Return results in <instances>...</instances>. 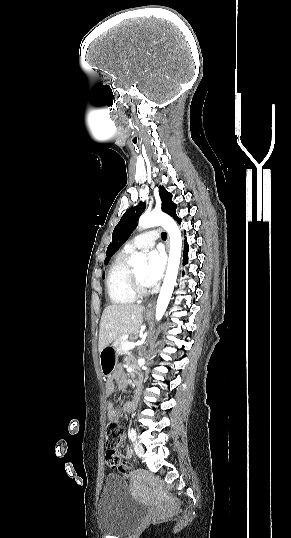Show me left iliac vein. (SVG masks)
I'll return each mask as SVG.
<instances>
[{
    "mask_svg": "<svg viewBox=\"0 0 291 538\" xmlns=\"http://www.w3.org/2000/svg\"><path fill=\"white\" fill-rule=\"evenodd\" d=\"M133 447H134V451H135V453H136L138 456H141V455L143 454L144 449H143V446H142L139 442L135 441Z\"/></svg>",
    "mask_w": 291,
    "mask_h": 538,
    "instance_id": "left-iliac-vein-1",
    "label": "left iliac vein"
}]
</instances>
